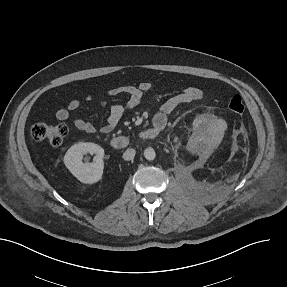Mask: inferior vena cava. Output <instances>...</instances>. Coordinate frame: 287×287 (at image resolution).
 I'll list each match as a JSON object with an SVG mask.
<instances>
[{"label":"inferior vena cava","instance_id":"602c4592","mask_svg":"<svg viewBox=\"0 0 287 287\" xmlns=\"http://www.w3.org/2000/svg\"><path fill=\"white\" fill-rule=\"evenodd\" d=\"M135 154L136 151L133 148H128L123 154V159L126 161L132 160Z\"/></svg>","mask_w":287,"mask_h":287}]
</instances>
